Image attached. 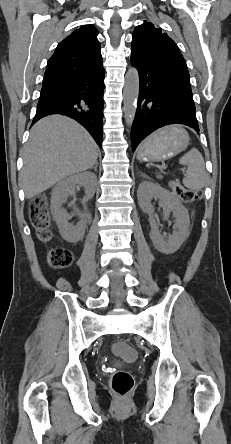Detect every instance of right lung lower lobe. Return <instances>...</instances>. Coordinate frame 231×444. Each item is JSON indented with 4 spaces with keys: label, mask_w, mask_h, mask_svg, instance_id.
I'll return each mask as SVG.
<instances>
[{
    "label": "right lung lower lobe",
    "mask_w": 231,
    "mask_h": 444,
    "mask_svg": "<svg viewBox=\"0 0 231 444\" xmlns=\"http://www.w3.org/2000/svg\"><path fill=\"white\" fill-rule=\"evenodd\" d=\"M104 69L43 84L33 123L63 114L81 123L102 147Z\"/></svg>",
    "instance_id": "right-lung-lower-lobe-1"
}]
</instances>
